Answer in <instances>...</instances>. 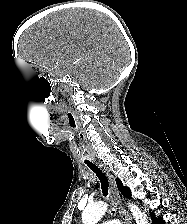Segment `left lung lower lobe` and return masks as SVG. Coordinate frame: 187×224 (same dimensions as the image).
Here are the masks:
<instances>
[{
    "label": "left lung lower lobe",
    "mask_w": 187,
    "mask_h": 224,
    "mask_svg": "<svg viewBox=\"0 0 187 224\" xmlns=\"http://www.w3.org/2000/svg\"><path fill=\"white\" fill-rule=\"evenodd\" d=\"M150 214H151V219H152V223L153 224H164L165 223L163 221V218L162 217L156 218L153 212H151Z\"/></svg>",
    "instance_id": "0a47b994"
}]
</instances>
